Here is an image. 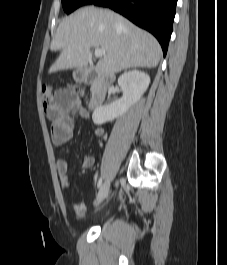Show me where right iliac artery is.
<instances>
[{
	"mask_svg": "<svg viewBox=\"0 0 227 265\" xmlns=\"http://www.w3.org/2000/svg\"><path fill=\"white\" fill-rule=\"evenodd\" d=\"M102 182H103V180H102V177L99 179V181H98V184H97V187L98 188H101L102 187Z\"/></svg>",
	"mask_w": 227,
	"mask_h": 265,
	"instance_id": "82829eb1",
	"label": "right iliac artery"
}]
</instances>
